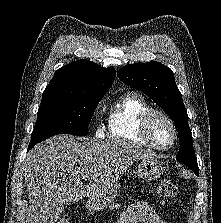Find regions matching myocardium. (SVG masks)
I'll return each instance as SVG.
<instances>
[{
  "mask_svg": "<svg viewBox=\"0 0 221 223\" xmlns=\"http://www.w3.org/2000/svg\"><path fill=\"white\" fill-rule=\"evenodd\" d=\"M157 116L162 117L164 120H166V122L169 124L171 128L173 138L170 144H168L167 146H161L157 144L151 136V123L154 120V118ZM138 131L141 138L147 144H149L153 149H156L159 151H167L171 149L175 145L177 141V137H178V131H177L174 120L166 112L162 110H158V109H151L142 116Z\"/></svg>",
  "mask_w": 221,
  "mask_h": 223,
  "instance_id": "1",
  "label": "myocardium"
}]
</instances>
